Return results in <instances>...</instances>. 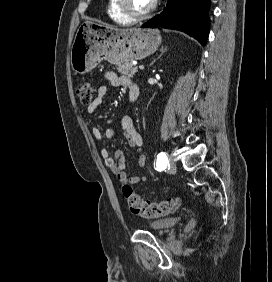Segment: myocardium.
<instances>
[{"instance_id":"1","label":"myocardium","mask_w":272,"mask_h":282,"mask_svg":"<svg viewBox=\"0 0 272 282\" xmlns=\"http://www.w3.org/2000/svg\"><path fill=\"white\" fill-rule=\"evenodd\" d=\"M117 7L118 9L130 20L137 21V20H142L150 15L153 14V12L156 10L157 7V0L153 1V4L149 10H147L144 13H137L136 11L133 10V8L130 5L129 0H117Z\"/></svg>"}]
</instances>
